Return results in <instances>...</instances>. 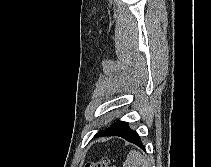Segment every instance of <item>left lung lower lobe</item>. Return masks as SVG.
Segmentation results:
<instances>
[{
  "instance_id": "obj_1",
  "label": "left lung lower lobe",
  "mask_w": 211,
  "mask_h": 167,
  "mask_svg": "<svg viewBox=\"0 0 211 167\" xmlns=\"http://www.w3.org/2000/svg\"><path fill=\"white\" fill-rule=\"evenodd\" d=\"M95 136H118L126 139L128 142L134 143L143 150L144 145L136 131L130 129L129 125L125 121H116L105 130L100 131Z\"/></svg>"
}]
</instances>
